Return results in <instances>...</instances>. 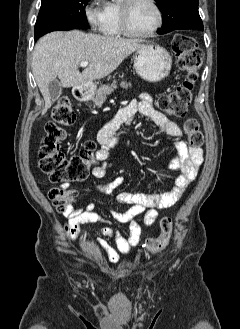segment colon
<instances>
[{
    "instance_id": "obj_1",
    "label": "colon",
    "mask_w": 240,
    "mask_h": 329,
    "mask_svg": "<svg viewBox=\"0 0 240 329\" xmlns=\"http://www.w3.org/2000/svg\"><path fill=\"white\" fill-rule=\"evenodd\" d=\"M173 51L177 58V66L184 73L183 83L174 90L159 96L157 105L172 116L182 117L186 114L192 100V90L202 65L203 52L197 41L185 34H176L172 40ZM76 120V114L71 107L70 99L61 96L52 110V121L45 127V137L39 151V165L52 183L80 182L85 180L91 167L96 163L93 141H86L82 149L75 155L67 157L60 149V143L65 138L63 126H70ZM192 147L201 148L204 137L198 122L189 118L184 123ZM49 198L59 212L66 211L74 202V191L63 188H51ZM161 233L149 238L147 250L151 253L166 248L170 242L173 229L172 219L164 217L160 223Z\"/></svg>"
}]
</instances>
